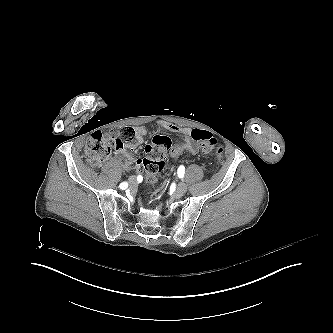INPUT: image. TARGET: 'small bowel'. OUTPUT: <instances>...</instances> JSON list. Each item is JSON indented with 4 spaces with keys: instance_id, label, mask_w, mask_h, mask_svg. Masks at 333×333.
<instances>
[{
    "instance_id": "obj_1",
    "label": "small bowel",
    "mask_w": 333,
    "mask_h": 333,
    "mask_svg": "<svg viewBox=\"0 0 333 333\" xmlns=\"http://www.w3.org/2000/svg\"><path fill=\"white\" fill-rule=\"evenodd\" d=\"M158 127L164 130H168L170 132L179 134L181 136V144L184 148L190 153H196L198 151V147L193 144V141L196 143H200L202 141L208 142L212 139L213 134L209 130H199V129H189V128H181L180 126L171 123V122H159ZM148 130L144 126H139L135 128V138L138 142H141L143 138L147 135ZM117 150H121V157L124 159V168L130 169L133 168L137 171L141 168V161L135 160L131 158L129 152L136 148V145L130 143L128 145H124L122 140H119L115 145ZM180 151H176L172 153V156H177Z\"/></svg>"
}]
</instances>
